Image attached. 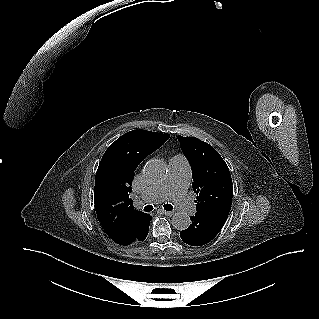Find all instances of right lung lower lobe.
<instances>
[{"label":"right lung lower lobe","instance_id":"1","mask_svg":"<svg viewBox=\"0 0 319 319\" xmlns=\"http://www.w3.org/2000/svg\"><path fill=\"white\" fill-rule=\"evenodd\" d=\"M150 220L151 216L149 214L142 216L124 239L122 245H131L143 241L147 237Z\"/></svg>","mask_w":319,"mask_h":319}]
</instances>
